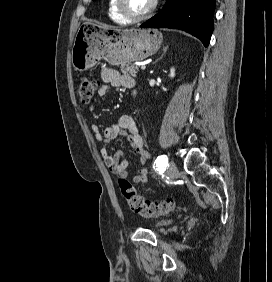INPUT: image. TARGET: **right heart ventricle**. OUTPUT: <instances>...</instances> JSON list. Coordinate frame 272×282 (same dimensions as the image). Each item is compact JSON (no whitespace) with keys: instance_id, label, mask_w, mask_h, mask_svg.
<instances>
[{"instance_id":"obj_1","label":"right heart ventricle","mask_w":272,"mask_h":282,"mask_svg":"<svg viewBox=\"0 0 272 282\" xmlns=\"http://www.w3.org/2000/svg\"><path fill=\"white\" fill-rule=\"evenodd\" d=\"M109 16L110 18L115 21L116 23L128 25L130 21L125 19L116 9L115 7V0H109Z\"/></svg>"}]
</instances>
